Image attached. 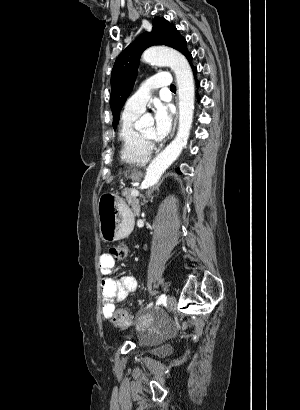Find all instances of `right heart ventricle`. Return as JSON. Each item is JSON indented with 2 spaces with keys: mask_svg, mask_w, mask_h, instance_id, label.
<instances>
[{
  "mask_svg": "<svg viewBox=\"0 0 300 410\" xmlns=\"http://www.w3.org/2000/svg\"><path fill=\"white\" fill-rule=\"evenodd\" d=\"M139 114L124 111L118 131L121 160L132 165H143L151 157V148L135 128V121Z\"/></svg>",
  "mask_w": 300,
  "mask_h": 410,
  "instance_id": "obj_1",
  "label": "right heart ventricle"
}]
</instances>
